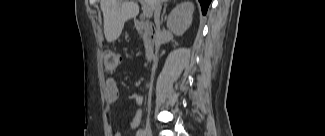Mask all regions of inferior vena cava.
<instances>
[{
  "label": "inferior vena cava",
  "instance_id": "1",
  "mask_svg": "<svg viewBox=\"0 0 325 136\" xmlns=\"http://www.w3.org/2000/svg\"><path fill=\"white\" fill-rule=\"evenodd\" d=\"M160 11H161V3L160 0H158L154 5V20L157 28H159L160 26ZM159 46H160V42L158 41L156 42V51H158ZM153 78H154V70H152V75H151L150 91L153 84Z\"/></svg>",
  "mask_w": 325,
  "mask_h": 136
}]
</instances>
